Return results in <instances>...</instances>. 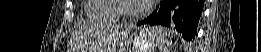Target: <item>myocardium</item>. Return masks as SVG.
<instances>
[{
    "label": "myocardium",
    "mask_w": 261,
    "mask_h": 52,
    "mask_svg": "<svg viewBox=\"0 0 261 52\" xmlns=\"http://www.w3.org/2000/svg\"><path fill=\"white\" fill-rule=\"evenodd\" d=\"M123 1H128V0H118L115 2V9H116V15L119 17V19L123 22H132L135 21L139 18H141L142 16L145 15V13L147 12V8L146 6H144L143 4L139 3L138 5V9L134 14L131 15H127L121 12V2Z\"/></svg>",
    "instance_id": "obj_1"
}]
</instances>
